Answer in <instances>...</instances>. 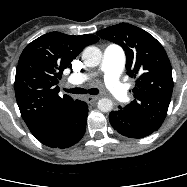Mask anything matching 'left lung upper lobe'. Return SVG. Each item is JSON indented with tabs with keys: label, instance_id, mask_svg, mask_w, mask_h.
<instances>
[{
	"label": "left lung upper lobe",
	"instance_id": "obj_1",
	"mask_svg": "<svg viewBox=\"0 0 187 187\" xmlns=\"http://www.w3.org/2000/svg\"><path fill=\"white\" fill-rule=\"evenodd\" d=\"M97 35L124 49L127 74L136 78L134 101L119 109L158 130L173 91L172 68L163 46L148 32L128 23L108 27Z\"/></svg>",
	"mask_w": 187,
	"mask_h": 187
}]
</instances>
